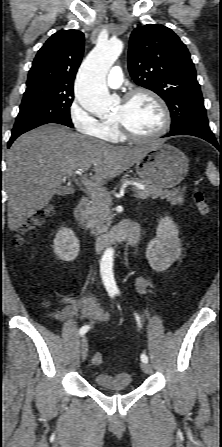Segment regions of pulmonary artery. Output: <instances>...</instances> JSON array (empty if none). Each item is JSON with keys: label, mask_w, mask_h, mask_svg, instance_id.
<instances>
[{"label": "pulmonary artery", "mask_w": 222, "mask_h": 447, "mask_svg": "<svg viewBox=\"0 0 222 447\" xmlns=\"http://www.w3.org/2000/svg\"><path fill=\"white\" fill-rule=\"evenodd\" d=\"M123 82V74L120 67L115 66L112 68L108 78H107V84L111 88H117L121 86Z\"/></svg>", "instance_id": "1"}]
</instances>
